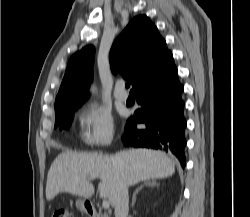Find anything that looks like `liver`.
Here are the masks:
<instances>
[{"mask_svg":"<svg viewBox=\"0 0 250 217\" xmlns=\"http://www.w3.org/2000/svg\"><path fill=\"white\" fill-rule=\"evenodd\" d=\"M175 166L162 152L151 149H129L112 156L96 153L63 152L53 161L46 184V199L68 192L83 198L94 194L90 180L99 178L98 192L115 206L117 190L122 182L128 186L141 181L172 176Z\"/></svg>","mask_w":250,"mask_h":217,"instance_id":"obj_1","label":"liver"}]
</instances>
